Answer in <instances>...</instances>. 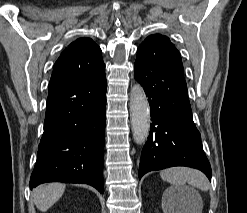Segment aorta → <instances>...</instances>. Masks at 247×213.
Masks as SVG:
<instances>
[{"label": "aorta", "instance_id": "1", "mask_svg": "<svg viewBox=\"0 0 247 213\" xmlns=\"http://www.w3.org/2000/svg\"><path fill=\"white\" fill-rule=\"evenodd\" d=\"M130 118L134 141L143 144L150 131V107L143 88L135 84L130 94Z\"/></svg>", "mask_w": 247, "mask_h": 213}]
</instances>
